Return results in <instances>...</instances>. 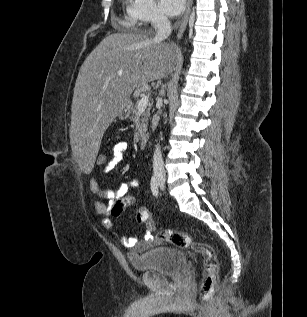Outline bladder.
<instances>
[{"label":"bladder","mask_w":307,"mask_h":317,"mask_svg":"<svg viewBox=\"0 0 307 317\" xmlns=\"http://www.w3.org/2000/svg\"><path fill=\"white\" fill-rule=\"evenodd\" d=\"M128 260L135 271H152L161 275L177 276L186 267L185 255L171 247H155L141 256L129 255Z\"/></svg>","instance_id":"31cf9c89"}]
</instances>
